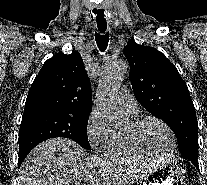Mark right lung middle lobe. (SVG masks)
Wrapping results in <instances>:
<instances>
[{
	"instance_id": "obj_1",
	"label": "right lung middle lobe",
	"mask_w": 207,
	"mask_h": 185,
	"mask_svg": "<svg viewBox=\"0 0 207 185\" xmlns=\"http://www.w3.org/2000/svg\"><path fill=\"white\" fill-rule=\"evenodd\" d=\"M88 119L89 114L43 110L24 112L19 130L18 165L37 144L49 138H69L91 150L87 136Z\"/></svg>"
}]
</instances>
